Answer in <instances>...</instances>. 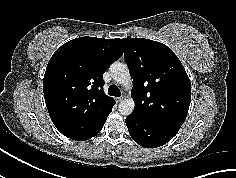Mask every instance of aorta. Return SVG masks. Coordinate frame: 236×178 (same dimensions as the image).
Wrapping results in <instances>:
<instances>
[{
    "label": "aorta",
    "mask_w": 236,
    "mask_h": 178,
    "mask_svg": "<svg viewBox=\"0 0 236 178\" xmlns=\"http://www.w3.org/2000/svg\"><path fill=\"white\" fill-rule=\"evenodd\" d=\"M110 72L117 83L124 86H128L130 84L131 76L128 67L125 64L114 62L110 66ZM134 107L135 102L131 97L122 99L118 105L119 112L125 116L130 115L133 112Z\"/></svg>",
    "instance_id": "aorta-1"
}]
</instances>
